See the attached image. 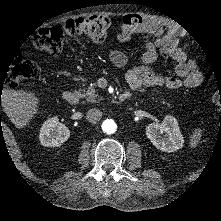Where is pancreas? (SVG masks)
I'll return each instance as SVG.
<instances>
[{
    "label": "pancreas",
    "mask_w": 221,
    "mask_h": 221,
    "mask_svg": "<svg viewBox=\"0 0 221 221\" xmlns=\"http://www.w3.org/2000/svg\"><path fill=\"white\" fill-rule=\"evenodd\" d=\"M79 91L83 93L87 102L97 103L98 101L102 100V98H99V96L96 94L95 84H92L87 89H79Z\"/></svg>",
    "instance_id": "obj_1"
}]
</instances>
